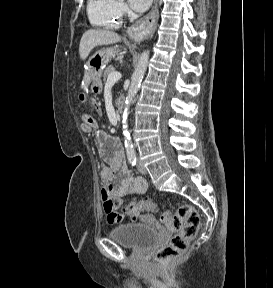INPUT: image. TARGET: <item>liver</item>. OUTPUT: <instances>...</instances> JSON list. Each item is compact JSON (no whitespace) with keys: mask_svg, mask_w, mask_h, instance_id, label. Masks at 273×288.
Returning <instances> with one entry per match:
<instances>
[{"mask_svg":"<svg viewBox=\"0 0 273 288\" xmlns=\"http://www.w3.org/2000/svg\"><path fill=\"white\" fill-rule=\"evenodd\" d=\"M121 41V37L109 30L90 29L87 30L80 40L79 55L85 60L90 52L97 46L115 44ZM121 58V57H119Z\"/></svg>","mask_w":273,"mask_h":288,"instance_id":"1","label":"liver"}]
</instances>
